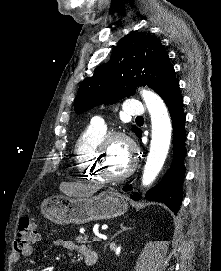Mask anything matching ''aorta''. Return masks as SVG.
Here are the masks:
<instances>
[{
  "label": "aorta",
  "mask_w": 221,
  "mask_h": 271,
  "mask_svg": "<svg viewBox=\"0 0 221 271\" xmlns=\"http://www.w3.org/2000/svg\"><path fill=\"white\" fill-rule=\"evenodd\" d=\"M141 94L152 125L150 151L142 175L143 186H148L164 165L171 142L172 124L167 107L159 95L149 90H142Z\"/></svg>",
  "instance_id": "1"
}]
</instances>
